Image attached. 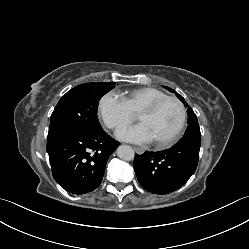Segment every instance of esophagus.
<instances>
[{"label": "esophagus", "instance_id": "1", "mask_svg": "<svg viewBox=\"0 0 249 249\" xmlns=\"http://www.w3.org/2000/svg\"><path fill=\"white\" fill-rule=\"evenodd\" d=\"M133 149H134V151H135L137 154H139V155H141V154H143V153H144V150H143L142 148H139V147H133Z\"/></svg>", "mask_w": 249, "mask_h": 249}]
</instances>
